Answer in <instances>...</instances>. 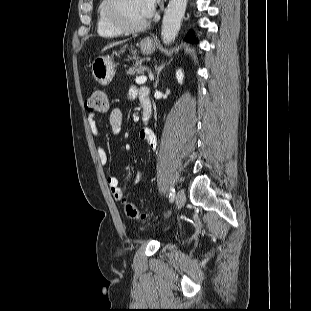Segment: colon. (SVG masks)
Instances as JSON below:
<instances>
[{"mask_svg":"<svg viewBox=\"0 0 311 311\" xmlns=\"http://www.w3.org/2000/svg\"><path fill=\"white\" fill-rule=\"evenodd\" d=\"M108 108L109 102L105 89L100 87L94 88L86 102V109L91 112H106ZM122 204L128 218L141 221L148 220V215L139 211L132 202L124 200Z\"/></svg>","mask_w":311,"mask_h":311,"instance_id":"1","label":"colon"}]
</instances>
